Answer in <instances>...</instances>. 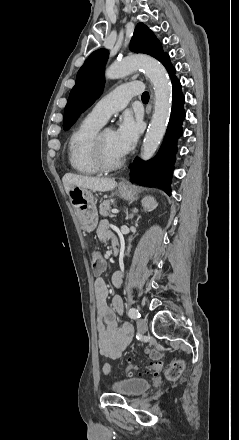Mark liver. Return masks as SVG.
<instances>
[{"mask_svg":"<svg viewBox=\"0 0 239 440\" xmlns=\"http://www.w3.org/2000/svg\"><path fill=\"white\" fill-rule=\"evenodd\" d=\"M62 182L68 196L74 188H86L92 192H109L117 186L114 178H91V176H78V174H65Z\"/></svg>","mask_w":239,"mask_h":440,"instance_id":"6515ba94","label":"liver"}]
</instances>
